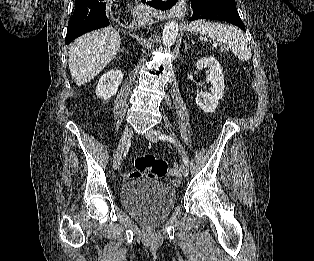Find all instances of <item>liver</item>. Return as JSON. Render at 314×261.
Here are the masks:
<instances>
[{"mask_svg": "<svg viewBox=\"0 0 314 261\" xmlns=\"http://www.w3.org/2000/svg\"><path fill=\"white\" fill-rule=\"evenodd\" d=\"M120 35L108 27L77 38L69 49L68 65L72 79L81 86L97 76L120 48Z\"/></svg>", "mask_w": 314, "mask_h": 261, "instance_id": "1", "label": "liver"}]
</instances>
